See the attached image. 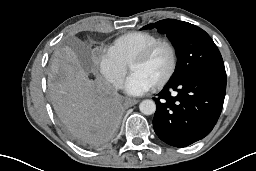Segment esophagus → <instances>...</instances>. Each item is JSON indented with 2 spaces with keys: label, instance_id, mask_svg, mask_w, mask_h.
Returning <instances> with one entry per match:
<instances>
[{
  "label": "esophagus",
  "instance_id": "esophagus-1",
  "mask_svg": "<svg viewBox=\"0 0 256 171\" xmlns=\"http://www.w3.org/2000/svg\"><path fill=\"white\" fill-rule=\"evenodd\" d=\"M139 102V100L137 99H131V98H127L124 102V105L127 107H131L136 105Z\"/></svg>",
  "mask_w": 256,
  "mask_h": 171
}]
</instances>
